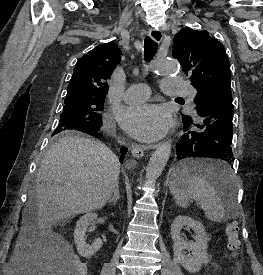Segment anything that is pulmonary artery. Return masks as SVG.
<instances>
[{"label": "pulmonary artery", "mask_w": 263, "mask_h": 275, "mask_svg": "<svg viewBox=\"0 0 263 275\" xmlns=\"http://www.w3.org/2000/svg\"><path fill=\"white\" fill-rule=\"evenodd\" d=\"M162 90L169 96H186L193 102L196 91L187 82L179 78H166L162 82ZM150 96V88L144 83L132 84L124 94L128 103H141Z\"/></svg>", "instance_id": "pulmonary-artery-1"}]
</instances>
